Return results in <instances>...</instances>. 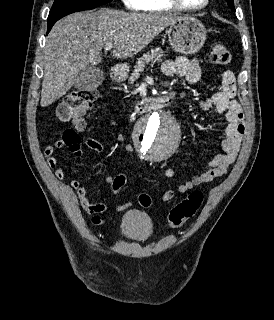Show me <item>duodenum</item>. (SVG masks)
Wrapping results in <instances>:
<instances>
[{
    "label": "duodenum",
    "mask_w": 274,
    "mask_h": 320,
    "mask_svg": "<svg viewBox=\"0 0 274 320\" xmlns=\"http://www.w3.org/2000/svg\"><path fill=\"white\" fill-rule=\"evenodd\" d=\"M112 78L115 80H119L122 78V75L118 72L112 73ZM173 98L169 96H157V97H149L144 98L139 103V108L141 110H151L154 108H161L173 103Z\"/></svg>",
    "instance_id": "obj_1"
}]
</instances>
